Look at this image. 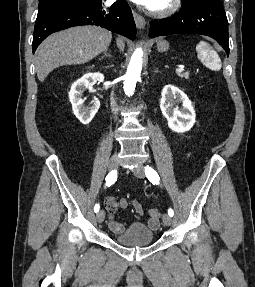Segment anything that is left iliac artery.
Returning a JSON list of instances; mask_svg holds the SVG:
<instances>
[{
    "mask_svg": "<svg viewBox=\"0 0 255 287\" xmlns=\"http://www.w3.org/2000/svg\"><path fill=\"white\" fill-rule=\"evenodd\" d=\"M145 174L151 183L159 184V180H160L159 175L157 174V172L153 168H151L150 166H146L145 167ZM168 214L171 217L174 215V212L171 208L168 209Z\"/></svg>",
    "mask_w": 255,
    "mask_h": 287,
    "instance_id": "1",
    "label": "left iliac artery"
}]
</instances>
